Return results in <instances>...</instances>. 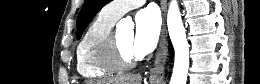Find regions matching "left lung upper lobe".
<instances>
[{
    "label": "left lung upper lobe",
    "mask_w": 260,
    "mask_h": 84,
    "mask_svg": "<svg viewBox=\"0 0 260 84\" xmlns=\"http://www.w3.org/2000/svg\"><path fill=\"white\" fill-rule=\"evenodd\" d=\"M108 2H110V0H85V3L77 19L78 39L81 37L82 32L85 30L89 22L96 15V13Z\"/></svg>",
    "instance_id": "1"
}]
</instances>
